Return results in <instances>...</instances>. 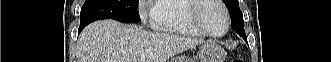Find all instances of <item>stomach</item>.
<instances>
[{
	"label": "stomach",
	"instance_id": "stomach-1",
	"mask_svg": "<svg viewBox=\"0 0 331 62\" xmlns=\"http://www.w3.org/2000/svg\"><path fill=\"white\" fill-rule=\"evenodd\" d=\"M200 62H224L226 58L225 50L213 43L203 44L198 51ZM170 62H194L190 58L178 56L173 58Z\"/></svg>",
	"mask_w": 331,
	"mask_h": 62
}]
</instances>
